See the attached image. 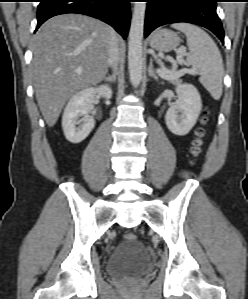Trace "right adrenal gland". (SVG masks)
Here are the masks:
<instances>
[{
  "instance_id": "obj_1",
  "label": "right adrenal gland",
  "mask_w": 248,
  "mask_h": 299,
  "mask_svg": "<svg viewBox=\"0 0 248 299\" xmlns=\"http://www.w3.org/2000/svg\"><path fill=\"white\" fill-rule=\"evenodd\" d=\"M116 76H117V71L116 68L113 70L112 75H108L104 77V80L109 82V83H114L116 81Z\"/></svg>"
}]
</instances>
